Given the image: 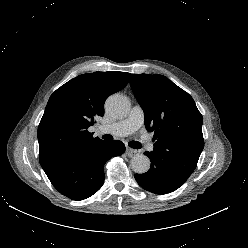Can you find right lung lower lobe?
I'll return each instance as SVG.
<instances>
[{"mask_svg": "<svg viewBox=\"0 0 248 248\" xmlns=\"http://www.w3.org/2000/svg\"><path fill=\"white\" fill-rule=\"evenodd\" d=\"M124 151V144L118 140H100L79 146L46 172V175L61 194L72 200H83L102 187L105 163Z\"/></svg>", "mask_w": 248, "mask_h": 248, "instance_id": "98d812e1", "label": "right lung lower lobe"}]
</instances>
